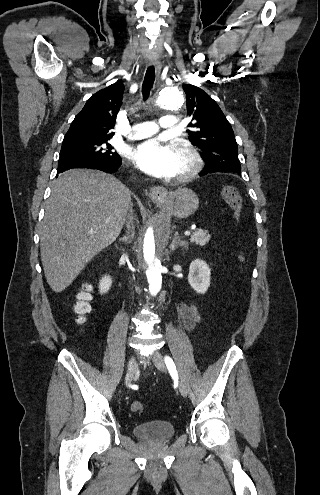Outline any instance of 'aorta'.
Returning a JSON list of instances; mask_svg holds the SVG:
<instances>
[{"instance_id": "762f6f07", "label": "aorta", "mask_w": 320, "mask_h": 495, "mask_svg": "<svg viewBox=\"0 0 320 495\" xmlns=\"http://www.w3.org/2000/svg\"><path fill=\"white\" fill-rule=\"evenodd\" d=\"M183 104V97L176 89H164L155 100V105L160 108L175 110ZM168 217L155 218L147 227L142 240V264L146 268L149 283V291L152 295L161 290L162 275L160 258L162 249L168 243Z\"/></svg>"}]
</instances>
